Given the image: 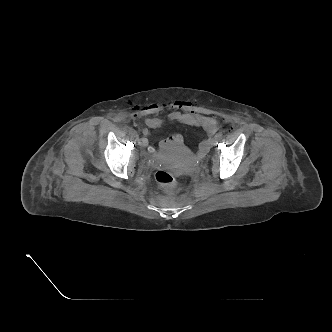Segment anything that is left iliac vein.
<instances>
[{
	"label": "left iliac vein",
	"instance_id": "obj_1",
	"mask_svg": "<svg viewBox=\"0 0 332 332\" xmlns=\"http://www.w3.org/2000/svg\"><path fill=\"white\" fill-rule=\"evenodd\" d=\"M218 141H219V138L215 136V138L213 139V145H216Z\"/></svg>",
	"mask_w": 332,
	"mask_h": 332
}]
</instances>
